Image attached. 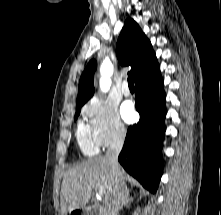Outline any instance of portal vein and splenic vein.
Segmentation results:
<instances>
[{
	"label": "portal vein and splenic vein",
	"mask_w": 221,
	"mask_h": 215,
	"mask_svg": "<svg viewBox=\"0 0 221 215\" xmlns=\"http://www.w3.org/2000/svg\"><path fill=\"white\" fill-rule=\"evenodd\" d=\"M98 193H99V194H102V189L98 190Z\"/></svg>",
	"instance_id": "obj_1"
}]
</instances>
